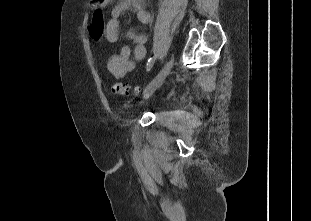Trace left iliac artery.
I'll list each match as a JSON object with an SVG mask.
<instances>
[{"mask_svg": "<svg viewBox=\"0 0 311 221\" xmlns=\"http://www.w3.org/2000/svg\"><path fill=\"white\" fill-rule=\"evenodd\" d=\"M155 59H156L155 57H152V58H150L148 60V62H147V71H149L152 68V66H153V64L155 62Z\"/></svg>", "mask_w": 311, "mask_h": 221, "instance_id": "left-iliac-artery-1", "label": "left iliac artery"}]
</instances>
